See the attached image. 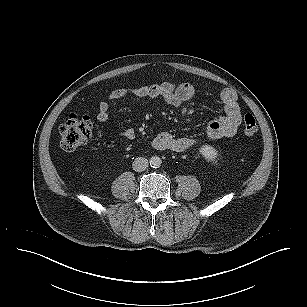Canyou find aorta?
Instances as JSON below:
<instances>
[{"instance_id": "aorta-1", "label": "aorta", "mask_w": 307, "mask_h": 307, "mask_svg": "<svg viewBox=\"0 0 307 307\" xmlns=\"http://www.w3.org/2000/svg\"><path fill=\"white\" fill-rule=\"evenodd\" d=\"M162 164V160L158 156H153L150 158V166L153 168H159Z\"/></svg>"}]
</instances>
